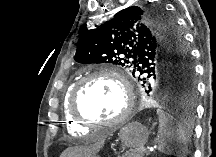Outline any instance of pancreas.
<instances>
[{"mask_svg": "<svg viewBox=\"0 0 216 157\" xmlns=\"http://www.w3.org/2000/svg\"><path fill=\"white\" fill-rule=\"evenodd\" d=\"M144 152L146 153V155L149 154V152H147L143 148H137V149L132 150L130 153H127L126 156L127 157H144Z\"/></svg>", "mask_w": 216, "mask_h": 157, "instance_id": "obj_1", "label": "pancreas"}]
</instances>
